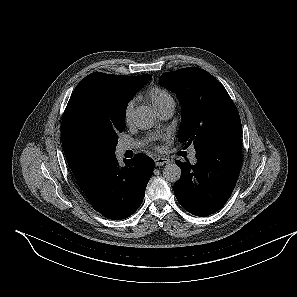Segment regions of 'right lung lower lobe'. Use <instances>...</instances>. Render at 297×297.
Masks as SVG:
<instances>
[{"instance_id":"98d812e1","label":"right lung lower lobe","mask_w":297,"mask_h":297,"mask_svg":"<svg viewBox=\"0 0 297 297\" xmlns=\"http://www.w3.org/2000/svg\"><path fill=\"white\" fill-rule=\"evenodd\" d=\"M154 170V161L145 154L124 159L119 165L113 156L83 190L92 207L107 218L121 220L141 205Z\"/></svg>"}]
</instances>
